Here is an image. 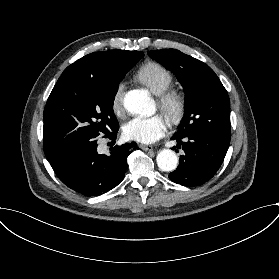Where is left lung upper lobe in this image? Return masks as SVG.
<instances>
[{
    "mask_svg": "<svg viewBox=\"0 0 279 279\" xmlns=\"http://www.w3.org/2000/svg\"><path fill=\"white\" fill-rule=\"evenodd\" d=\"M148 54L171 70L184 88L185 113L175 135L211 131L231 136L229 96L209 66L176 49Z\"/></svg>",
    "mask_w": 279,
    "mask_h": 279,
    "instance_id": "obj_1",
    "label": "left lung upper lobe"
}]
</instances>
